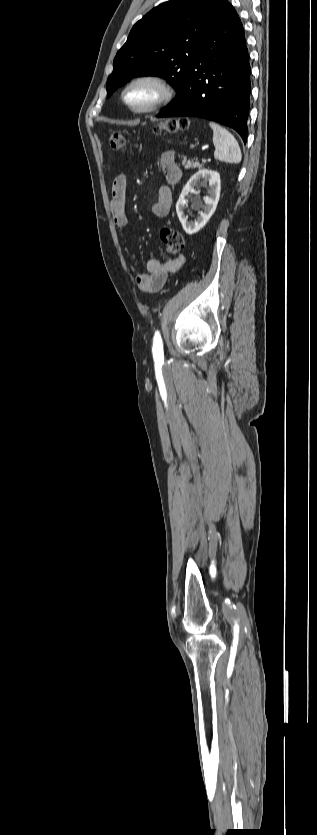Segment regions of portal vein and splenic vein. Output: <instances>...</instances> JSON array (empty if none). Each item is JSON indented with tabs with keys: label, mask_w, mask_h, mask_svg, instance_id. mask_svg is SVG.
<instances>
[{
	"label": "portal vein and splenic vein",
	"mask_w": 317,
	"mask_h": 835,
	"mask_svg": "<svg viewBox=\"0 0 317 835\" xmlns=\"http://www.w3.org/2000/svg\"><path fill=\"white\" fill-rule=\"evenodd\" d=\"M202 161H203V162H206V161H207V158H203V160H202Z\"/></svg>",
	"instance_id": "18ae733b"
}]
</instances>
